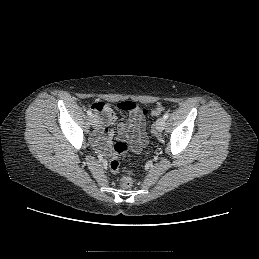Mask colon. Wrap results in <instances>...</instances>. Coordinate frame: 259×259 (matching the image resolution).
<instances>
[{
	"label": "colon",
	"mask_w": 259,
	"mask_h": 259,
	"mask_svg": "<svg viewBox=\"0 0 259 259\" xmlns=\"http://www.w3.org/2000/svg\"><path fill=\"white\" fill-rule=\"evenodd\" d=\"M103 107L102 102H97L92 105L93 109H101ZM137 106L135 103L131 101H125L118 104V108L123 111H129L135 109ZM164 107H156L151 111V114L154 116H158L164 112ZM144 114L147 113L146 110H143ZM114 156L110 161V169L113 172H117L119 170V161L117 156L126 155L129 152V146L124 141H117L114 146ZM133 184V179L129 175H124L121 177L120 185L123 188H130Z\"/></svg>",
	"instance_id": "1"
}]
</instances>
